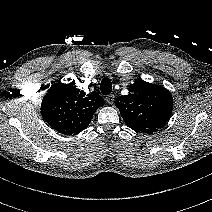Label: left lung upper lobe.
I'll return each instance as SVG.
<instances>
[{"label": "left lung upper lobe", "mask_w": 212, "mask_h": 212, "mask_svg": "<svg viewBox=\"0 0 212 212\" xmlns=\"http://www.w3.org/2000/svg\"><path fill=\"white\" fill-rule=\"evenodd\" d=\"M125 123L141 133H153L169 121L173 100L170 92L162 86L137 81L129 87V94L116 100Z\"/></svg>", "instance_id": "left-lung-upper-lobe-1"}]
</instances>
